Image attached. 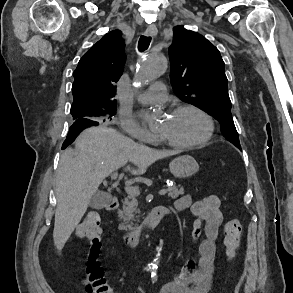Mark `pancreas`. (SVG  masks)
<instances>
[{
	"label": "pancreas",
	"instance_id": "obj_1",
	"mask_svg": "<svg viewBox=\"0 0 293 293\" xmlns=\"http://www.w3.org/2000/svg\"><path fill=\"white\" fill-rule=\"evenodd\" d=\"M168 197L172 199L178 198L180 195L184 194V188L180 186H171L167 188ZM138 201L136 196L128 195L123 202V210L121 212V216L123 221L127 224L124 226L122 224L123 229L135 230V232L139 231L137 225H133L131 221H135L136 214L139 212L138 209Z\"/></svg>",
	"mask_w": 293,
	"mask_h": 293
}]
</instances>
